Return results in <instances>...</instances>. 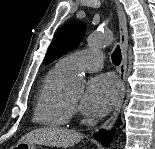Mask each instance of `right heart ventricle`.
<instances>
[{"label":"right heart ventricle","mask_w":155,"mask_h":149,"mask_svg":"<svg viewBox=\"0 0 155 149\" xmlns=\"http://www.w3.org/2000/svg\"><path fill=\"white\" fill-rule=\"evenodd\" d=\"M68 76L57 64L45 75L37 95L34 122L47 127H62L69 123L72 109L61 91V85Z\"/></svg>","instance_id":"right-heart-ventricle-1"}]
</instances>
